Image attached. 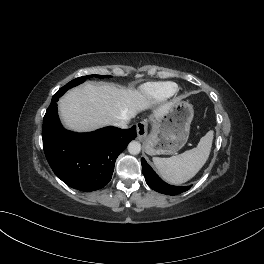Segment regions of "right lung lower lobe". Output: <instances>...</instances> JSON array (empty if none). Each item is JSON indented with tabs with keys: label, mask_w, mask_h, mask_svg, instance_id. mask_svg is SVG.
I'll return each instance as SVG.
<instances>
[{
	"label": "right lung lower lobe",
	"mask_w": 264,
	"mask_h": 264,
	"mask_svg": "<svg viewBox=\"0 0 264 264\" xmlns=\"http://www.w3.org/2000/svg\"><path fill=\"white\" fill-rule=\"evenodd\" d=\"M54 97L43 121V146L54 173L70 187L84 191L102 189L112 178L118 155L136 137V126H108L90 133L65 130Z\"/></svg>",
	"instance_id": "right-lung-lower-lobe-1"
}]
</instances>
